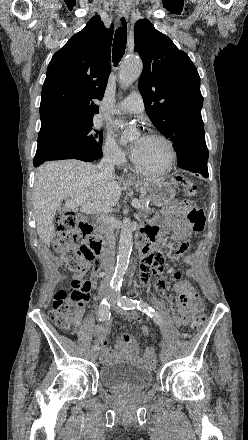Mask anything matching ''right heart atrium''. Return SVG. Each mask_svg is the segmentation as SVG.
I'll use <instances>...</instances> for the list:
<instances>
[{"label": "right heart atrium", "instance_id": "1", "mask_svg": "<svg viewBox=\"0 0 248 440\" xmlns=\"http://www.w3.org/2000/svg\"><path fill=\"white\" fill-rule=\"evenodd\" d=\"M103 153L105 158L115 164L120 165L125 161L126 154L112 134H107L104 138Z\"/></svg>", "mask_w": 248, "mask_h": 440}]
</instances>
